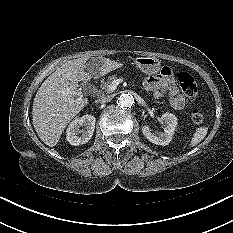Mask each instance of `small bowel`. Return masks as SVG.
Here are the masks:
<instances>
[{"instance_id":"obj_1","label":"small bowel","mask_w":233,"mask_h":233,"mask_svg":"<svg viewBox=\"0 0 233 233\" xmlns=\"http://www.w3.org/2000/svg\"><path fill=\"white\" fill-rule=\"evenodd\" d=\"M143 87L153 91L156 99H161L167 94L171 106L175 109H182L186 105V98L176 86L173 72L169 67H163L157 75L146 78Z\"/></svg>"}]
</instances>
